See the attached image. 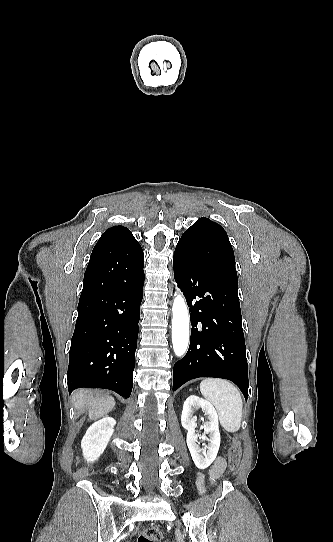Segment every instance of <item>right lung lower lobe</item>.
I'll list each match as a JSON object with an SVG mask.
<instances>
[{
	"label": "right lung lower lobe",
	"mask_w": 333,
	"mask_h": 542,
	"mask_svg": "<svg viewBox=\"0 0 333 542\" xmlns=\"http://www.w3.org/2000/svg\"><path fill=\"white\" fill-rule=\"evenodd\" d=\"M144 254L134 239L92 252L84 275L67 372L69 392L133 387Z\"/></svg>",
	"instance_id": "1"
}]
</instances>
